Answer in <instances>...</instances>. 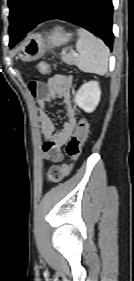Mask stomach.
I'll return each mask as SVG.
<instances>
[{
	"instance_id": "obj_1",
	"label": "stomach",
	"mask_w": 134,
	"mask_h": 281,
	"mask_svg": "<svg viewBox=\"0 0 134 281\" xmlns=\"http://www.w3.org/2000/svg\"><path fill=\"white\" fill-rule=\"evenodd\" d=\"M71 35L63 29H55L49 35L42 37L34 34L23 43L19 52V58L31 62L42 57L48 48L59 47L70 40Z\"/></svg>"
}]
</instances>
